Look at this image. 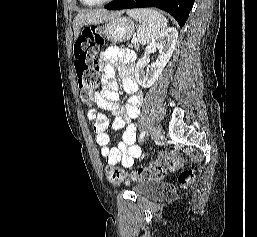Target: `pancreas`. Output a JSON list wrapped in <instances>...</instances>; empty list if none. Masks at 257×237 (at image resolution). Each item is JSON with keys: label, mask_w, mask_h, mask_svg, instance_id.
I'll use <instances>...</instances> for the list:
<instances>
[{"label": "pancreas", "mask_w": 257, "mask_h": 237, "mask_svg": "<svg viewBox=\"0 0 257 237\" xmlns=\"http://www.w3.org/2000/svg\"><path fill=\"white\" fill-rule=\"evenodd\" d=\"M128 47L129 48H133L134 47L136 50H138L139 49V44L138 43H132V44H129Z\"/></svg>", "instance_id": "pancreas-1"}]
</instances>
